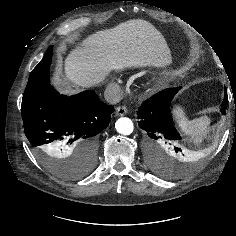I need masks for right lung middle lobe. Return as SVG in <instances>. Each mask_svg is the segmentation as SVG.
I'll list each match as a JSON object with an SVG mask.
<instances>
[{"label": "right lung middle lobe", "mask_w": 236, "mask_h": 236, "mask_svg": "<svg viewBox=\"0 0 236 236\" xmlns=\"http://www.w3.org/2000/svg\"><path fill=\"white\" fill-rule=\"evenodd\" d=\"M41 163L52 173L65 178H78L88 173L94 164L85 161H68L62 162L42 150H37Z\"/></svg>", "instance_id": "right-lung-middle-lobe-1"}]
</instances>
